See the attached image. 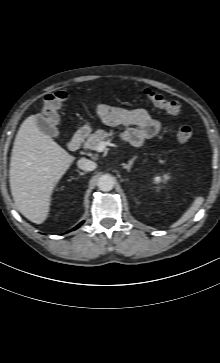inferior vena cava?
Segmentation results:
<instances>
[{"label":"inferior vena cava","instance_id":"obj_1","mask_svg":"<svg viewBox=\"0 0 220 363\" xmlns=\"http://www.w3.org/2000/svg\"><path fill=\"white\" fill-rule=\"evenodd\" d=\"M77 164L78 167L84 171H93L97 167V164L95 162L86 158H81Z\"/></svg>","mask_w":220,"mask_h":363}]
</instances>
